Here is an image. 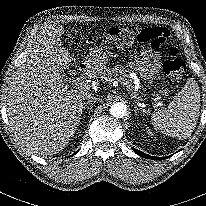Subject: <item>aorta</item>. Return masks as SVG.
<instances>
[{
    "label": "aorta",
    "instance_id": "aorta-1",
    "mask_svg": "<svg viewBox=\"0 0 206 206\" xmlns=\"http://www.w3.org/2000/svg\"><path fill=\"white\" fill-rule=\"evenodd\" d=\"M126 105L124 103L118 102L111 106L110 114L116 118H122L126 115Z\"/></svg>",
    "mask_w": 206,
    "mask_h": 206
}]
</instances>
